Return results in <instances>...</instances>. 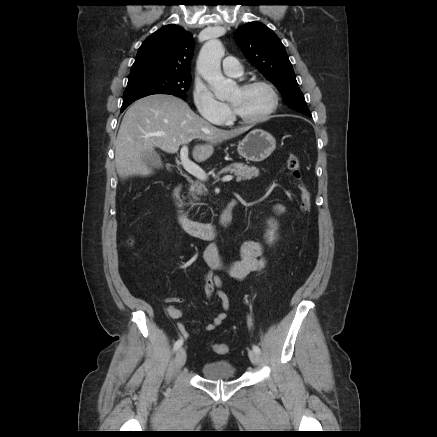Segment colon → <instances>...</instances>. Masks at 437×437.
I'll return each mask as SVG.
<instances>
[{"label":"colon","instance_id":"5ec220e1","mask_svg":"<svg viewBox=\"0 0 437 437\" xmlns=\"http://www.w3.org/2000/svg\"><path fill=\"white\" fill-rule=\"evenodd\" d=\"M287 168L295 179L299 194L300 208L303 212H309L311 208V193L301 181L300 159L297 154L291 153L287 158ZM213 350L220 355L228 352L229 347L225 343H217L213 346Z\"/></svg>","mask_w":437,"mask_h":437}]
</instances>
